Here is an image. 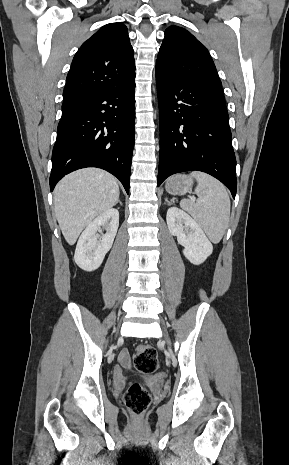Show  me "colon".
I'll list each match as a JSON object with an SVG mask.
<instances>
[{"label": "colon", "instance_id": "obj_1", "mask_svg": "<svg viewBox=\"0 0 289 465\" xmlns=\"http://www.w3.org/2000/svg\"><path fill=\"white\" fill-rule=\"evenodd\" d=\"M134 365L139 372L144 374L156 372L159 367L156 349L150 345L138 346L134 354ZM124 402L132 413L139 415L148 407L150 395L143 385L133 382L124 393Z\"/></svg>", "mask_w": 289, "mask_h": 465}]
</instances>
